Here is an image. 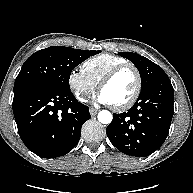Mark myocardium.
I'll list each match as a JSON object with an SVG mask.
<instances>
[{
	"label": "myocardium",
	"instance_id": "myocardium-1",
	"mask_svg": "<svg viewBox=\"0 0 193 193\" xmlns=\"http://www.w3.org/2000/svg\"><path fill=\"white\" fill-rule=\"evenodd\" d=\"M126 69H132L136 75V87L134 90V93L132 94V96L124 103L119 104V105H112L111 107L115 110V111H124L127 110L129 108H131L136 101L138 100L140 94H141V90H142V76L141 73L139 71V69L132 63H125V64H121L115 68H113L111 71H109L99 82L98 84V90L99 92L102 91V89L109 83L111 82L120 72H122L123 70Z\"/></svg>",
	"mask_w": 193,
	"mask_h": 193
}]
</instances>
